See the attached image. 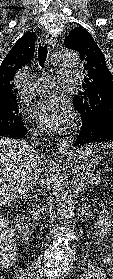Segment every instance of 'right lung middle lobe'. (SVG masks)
Listing matches in <instances>:
<instances>
[{
  "label": "right lung middle lobe",
  "mask_w": 113,
  "mask_h": 279,
  "mask_svg": "<svg viewBox=\"0 0 113 279\" xmlns=\"http://www.w3.org/2000/svg\"><path fill=\"white\" fill-rule=\"evenodd\" d=\"M22 126H24V123L19 114L17 102L7 107L0 108V132Z\"/></svg>",
  "instance_id": "1"
}]
</instances>
